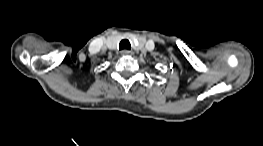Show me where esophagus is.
I'll return each mask as SVG.
<instances>
[{"instance_id": "obj_1", "label": "esophagus", "mask_w": 263, "mask_h": 146, "mask_svg": "<svg viewBox=\"0 0 263 146\" xmlns=\"http://www.w3.org/2000/svg\"><path fill=\"white\" fill-rule=\"evenodd\" d=\"M121 54H122L123 56H126V55L132 54V52L129 51V50L124 49V50L121 51Z\"/></svg>"}]
</instances>
